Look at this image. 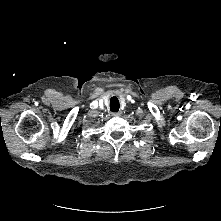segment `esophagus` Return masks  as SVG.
Returning <instances> with one entry per match:
<instances>
[{"mask_svg":"<svg viewBox=\"0 0 221 221\" xmlns=\"http://www.w3.org/2000/svg\"><path fill=\"white\" fill-rule=\"evenodd\" d=\"M121 115V112L119 111V112H113L112 113V116H120Z\"/></svg>","mask_w":221,"mask_h":221,"instance_id":"1","label":"esophagus"}]
</instances>
